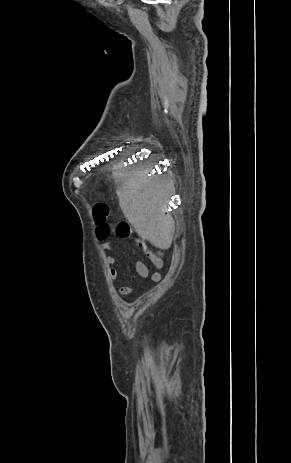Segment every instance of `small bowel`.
<instances>
[{"instance_id":"small-bowel-1","label":"small bowel","mask_w":291,"mask_h":463,"mask_svg":"<svg viewBox=\"0 0 291 463\" xmlns=\"http://www.w3.org/2000/svg\"><path fill=\"white\" fill-rule=\"evenodd\" d=\"M139 246L143 249L146 256L151 260L154 267L157 271H154L151 274V282H158L161 279V274L159 270L163 267V260L161 257L151 248H149L145 242L138 240ZM103 249L105 251H110L112 249L109 243H103ZM105 262L108 265V275L111 279H117L119 276V271L116 267L118 260L114 256H106ZM135 269L139 277L147 279L150 275L148 266L141 260H138L135 264ZM135 291V288L132 286H122L119 288V294L122 296H128Z\"/></svg>"}]
</instances>
